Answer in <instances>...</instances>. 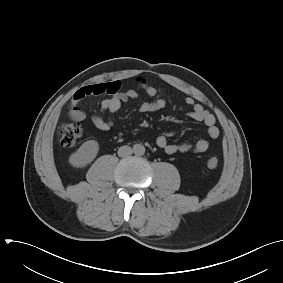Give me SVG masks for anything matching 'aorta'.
Instances as JSON below:
<instances>
[{"mask_svg":"<svg viewBox=\"0 0 283 283\" xmlns=\"http://www.w3.org/2000/svg\"><path fill=\"white\" fill-rule=\"evenodd\" d=\"M133 151L136 155H143L145 153V147L141 144H136L133 147Z\"/></svg>","mask_w":283,"mask_h":283,"instance_id":"aorta-1","label":"aorta"}]
</instances>
